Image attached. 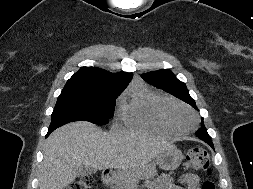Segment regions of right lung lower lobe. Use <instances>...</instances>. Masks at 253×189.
<instances>
[{
  "label": "right lung lower lobe",
  "mask_w": 253,
  "mask_h": 189,
  "mask_svg": "<svg viewBox=\"0 0 253 189\" xmlns=\"http://www.w3.org/2000/svg\"><path fill=\"white\" fill-rule=\"evenodd\" d=\"M57 128H58V127H57ZM55 129H56V127H49V131H48L46 137H47L51 132H53Z\"/></svg>",
  "instance_id": "98d812e1"
}]
</instances>
